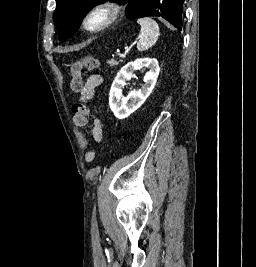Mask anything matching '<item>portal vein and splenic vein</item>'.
<instances>
[{"mask_svg":"<svg viewBox=\"0 0 256 267\" xmlns=\"http://www.w3.org/2000/svg\"><path fill=\"white\" fill-rule=\"evenodd\" d=\"M126 55H128V52H125V55L122 56V59L123 60H126L127 59V56Z\"/></svg>","mask_w":256,"mask_h":267,"instance_id":"18ae733b","label":"portal vein and splenic vein"}]
</instances>
